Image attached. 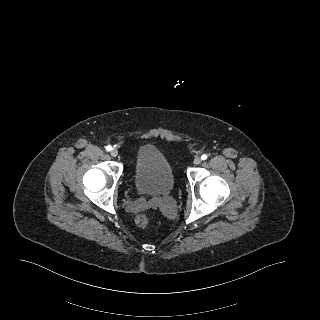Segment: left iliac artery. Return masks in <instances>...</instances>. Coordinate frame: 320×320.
Listing matches in <instances>:
<instances>
[{"label":"left iliac artery","instance_id":"left-iliac-artery-1","mask_svg":"<svg viewBox=\"0 0 320 320\" xmlns=\"http://www.w3.org/2000/svg\"><path fill=\"white\" fill-rule=\"evenodd\" d=\"M207 157H208V156H207L206 154H203V155L201 156V159H202V160H206Z\"/></svg>","mask_w":320,"mask_h":320}]
</instances>
